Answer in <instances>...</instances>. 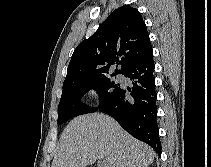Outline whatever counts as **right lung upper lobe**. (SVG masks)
<instances>
[{"label":"right lung upper lobe","mask_w":211,"mask_h":167,"mask_svg":"<svg viewBox=\"0 0 211 167\" xmlns=\"http://www.w3.org/2000/svg\"><path fill=\"white\" fill-rule=\"evenodd\" d=\"M153 54L149 35L139 11L129 5L113 11L88 39L73 52L63 86L103 77L115 63L112 75L123 74Z\"/></svg>","instance_id":"obj_1"}]
</instances>
